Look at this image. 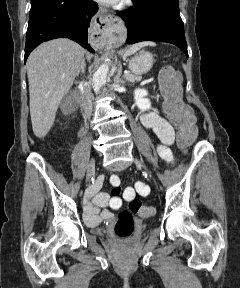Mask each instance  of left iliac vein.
<instances>
[{"mask_svg":"<svg viewBox=\"0 0 240 288\" xmlns=\"http://www.w3.org/2000/svg\"><path fill=\"white\" fill-rule=\"evenodd\" d=\"M134 163L138 166V167H141L145 173H147L148 175H150V172L148 171V169L146 168V166L144 165V163L137 159V158H134Z\"/></svg>","mask_w":240,"mask_h":288,"instance_id":"1","label":"left iliac vein"}]
</instances>
